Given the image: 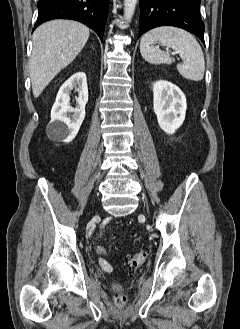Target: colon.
Listing matches in <instances>:
<instances>
[{"instance_id":"1","label":"colon","mask_w":240,"mask_h":329,"mask_svg":"<svg viewBox=\"0 0 240 329\" xmlns=\"http://www.w3.org/2000/svg\"><path fill=\"white\" fill-rule=\"evenodd\" d=\"M146 254L144 252H137L126 257V265L130 272L137 270L145 261ZM113 300L117 305H124L127 302L125 294L116 293L113 295Z\"/></svg>"}]
</instances>
